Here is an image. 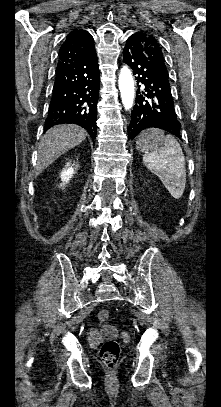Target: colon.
Returning <instances> with one entry per match:
<instances>
[{"label":"colon","mask_w":221,"mask_h":407,"mask_svg":"<svg viewBox=\"0 0 221 407\" xmlns=\"http://www.w3.org/2000/svg\"><path fill=\"white\" fill-rule=\"evenodd\" d=\"M100 322H106L110 319V312L108 310H100L97 314ZM120 345L118 341L110 339L105 341L100 349V358L107 371L113 372L119 362Z\"/></svg>","instance_id":"obj_1"}]
</instances>
